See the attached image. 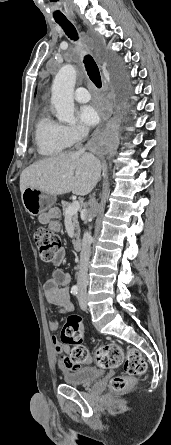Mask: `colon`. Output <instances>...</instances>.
Masks as SVG:
<instances>
[{
	"label": "colon",
	"instance_id": "5ec220e1",
	"mask_svg": "<svg viewBox=\"0 0 171 445\" xmlns=\"http://www.w3.org/2000/svg\"><path fill=\"white\" fill-rule=\"evenodd\" d=\"M34 236L42 261L46 263L53 262L61 248L59 237L43 228L36 229ZM81 324V317L70 316L63 327L62 341L72 346L69 352V360L77 364L93 361L102 369L116 368L123 365L124 374L113 377L110 380L109 389L116 393L129 389L134 379L143 375L147 369L146 362L139 350L129 349L124 356L120 345L110 343L99 347L91 356L83 344L80 331Z\"/></svg>",
	"mask_w": 171,
	"mask_h": 445
}]
</instances>
